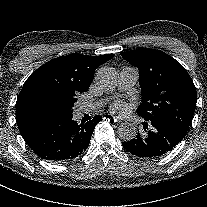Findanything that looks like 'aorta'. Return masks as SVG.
<instances>
[{
	"mask_svg": "<svg viewBox=\"0 0 207 207\" xmlns=\"http://www.w3.org/2000/svg\"><path fill=\"white\" fill-rule=\"evenodd\" d=\"M95 80L100 88L113 90L118 84V74L110 67H101L96 72ZM118 135L124 141H130L137 135V128L133 123H122L118 128Z\"/></svg>",
	"mask_w": 207,
	"mask_h": 207,
	"instance_id": "obj_1",
	"label": "aorta"
}]
</instances>
